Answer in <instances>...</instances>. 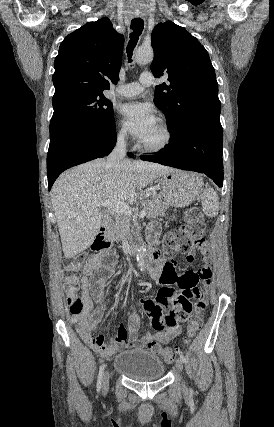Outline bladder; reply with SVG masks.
<instances>
[{
	"instance_id": "31cf9c89",
	"label": "bladder",
	"mask_w": 274,
	"mask_h": 427,
	"mask_svg": "<svg viewBox=\"0 0 274 427\" xmlns=\"http://www.w3.org/2000/svg\"><path fill=\"white\" fill-rule=\"evenodd\" d=\"M117 374L134 380H149L165 376L166 364L163 359L151 354L146 349H131L118 353L113 359Z\"/></svg>"
}]
</instances>
